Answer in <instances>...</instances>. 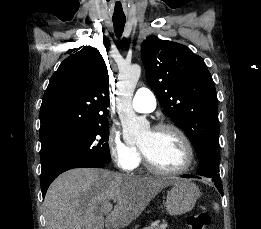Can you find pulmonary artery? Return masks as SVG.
<instances>
[{
    "label": "pulmonary artery",
    "instance_id": "obj_1",
    "mask_svg": "<svg viewBox=\"0 0 261 229\" xmlns=\"http://www.w3.org/2000/svg\"><path fill=\"white\" fill-rule=\"evenodd\" d=\"M157 101L154 93L148 88H140L134 96L133 109L139 113H151L156 109Z\"/></svg>",
    "mask_w": 261,
    "mask_h": 229
}]
</instances>
